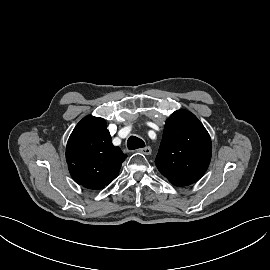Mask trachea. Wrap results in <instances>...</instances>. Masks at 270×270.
Here are the masks:
<instances>
[{
	"label": "trachea",
	"mask_w": 270,
	"mask_h": 270,
	"mask_svg": "<svg viewBox=\"0 0 270 270\" xmlns=\"http://www.w3.org/2000/svg\"><path fill=\"white\" fill-rule=\"evenodd\" d=\"M127 147L129 150H135L138 148L145 147V143L142 139L135 137V136H131V137H129V139L127 141Z\"/></svg>",
	"instance_id": "3493384b"
}]
</instances>
